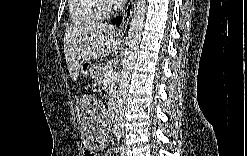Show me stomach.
Returning a JSON list of instances; mask_svg holds the SVG:
<instances>
[{"instance_id": "0dacf381", "label": "stomach", "mask_w": 247, "mask_h": 156, "mask_svg": "<svg viewBox=\"0 0 247 156\" xmlns=\"http://www.w3.org/2000/svg\"><path fill=\"white\" fill-rule=\"evenodd\" d=\"M96 69H97L96 64L90 65L87 62H83L81 67H80L81 73L83 75H88L90 73V76L92 78L96 77Z\"/></svg>"}]
</instances>
